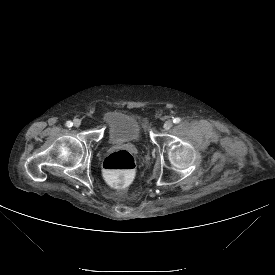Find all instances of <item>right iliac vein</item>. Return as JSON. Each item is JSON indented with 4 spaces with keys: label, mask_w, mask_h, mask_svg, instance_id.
<instances>
[{
    "label": "right iliac vein",
    "mask_w": 275,
    "mask_h": 275,
    "mask_svg": "<svg viewBox=\"0 0 275 275\" xmlns=\"http://www.w3.org/2000/svg\"><path fill=\"white\" fill-rule=\"evenodd\" d=\"M73 124H74L75 127H79L81 125V121L79 119H75L73 121Z\"/></svg>",
    "instance_id": "1"
}]
</instances>
